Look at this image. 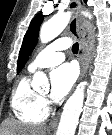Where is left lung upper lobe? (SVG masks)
<instances>
[{
	"label": "left lung upper lobe",
	"mask_w": 112,
	"mask_h": 135,
	"mask_svg": "<svg viewBox=\"0 0 112 135\" xmlns=\"http://www.w3.org/2000/svg\"><path fill=\"white\" fill-rule=\"evenodd\" d=\"M43 21V15H37L30 23V26L24 36L23 44L20 49L18 63H17V73L24 67L29 55L34 49L37 43V37L39 33L40 25Z\"/></svg>",
	"instance_id": "5c2ea615"
}]
</instances>
